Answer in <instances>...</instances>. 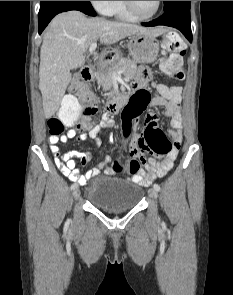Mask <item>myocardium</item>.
Listing matches in <instances>:
<instances>
[{
    "mask_svg": "<svg viewBox=\"0 0 233 295\" xmlns=\"http://www.w3.org/2000/svg\"><path fill=\"white\" fill-rule=\"evenodd\" d=\"M124 4H125V7H126L127 11L134 18L139 19V20L152 19L153 17H155L158 14V12L160 11V8H161V1H157V6H156L155 11L152 14L148 15V16H142V15L138 14L137 11L135 10L133 1H124Z\"/></svg>",
    "mask_w": 233,
    "mask_h": 295,
    "instance_id": "obj_1",
    "label": "myocardium"
}]
</instances>
